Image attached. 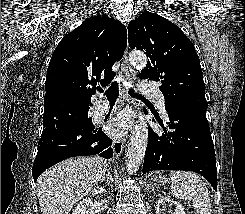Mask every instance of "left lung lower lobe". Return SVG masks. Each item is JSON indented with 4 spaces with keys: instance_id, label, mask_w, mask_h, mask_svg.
Instances as JSON below:
<instances>
[{
    "instance_id": "left-lung-lower-lobe-1",
    "label": "left lung lower lobe",
    "mask_w": 245,
    "mask_h": 214,
    "mask_svg": "<svg viewBox=\"0 0 245 214\" xmlns=\"http://www.w3.org/2000/svg\"><path fill=\"white\" fill-rule=\"evenodd\" d=\"M207 107L167 111L172 132H148L143 174L152 170H185L201 174L217 191L215 150L206 118Z\"/></svg>"
}]
</instances>
